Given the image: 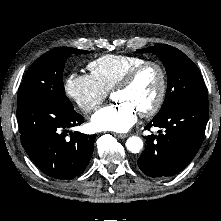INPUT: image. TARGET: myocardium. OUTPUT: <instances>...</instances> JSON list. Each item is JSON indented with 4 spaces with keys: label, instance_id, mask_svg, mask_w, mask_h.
I'll use <instances>...</instances> for the list:
<instances>
[{
    "label": "myocardium",
    "instance_id": "1",
    "mask_svg": "<svg viewBox=\"0 0 221 221\" xmlns=\"http://www.w3.org/2000/svg\"><path fill=\"white\" fill-rule=\"evenodd\" d=\"M147 67H154L157 69L160 77V83L159 91L155 102L148 109L139 112V115L142 118L154 116L161 109L164 103L167 91V74L164 67L156 61H145L133 68L132 70H130L114 88V92L129 88L135 82V80L138 78L141 72Z\"/></svg>",
    "mask_w": 221,
    "mask_h": 221
}]
</instances>
